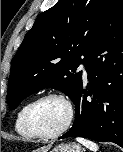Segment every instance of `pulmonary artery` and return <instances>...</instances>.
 I'll return each instance as SVG.
<instances>
[{
  "label": "pulmonary artery",
  "mask_w": 123,
  "mask_h": 152,
  "mask_svg": "<svg viewBox=\"0 0 123 152\" xmlns=\"http://www.w3.org/2000/svg\"><path fill=\"white\" fill-rule=\"evenodd\" d=\"M79 69L82 71L83 77H84V78H87L88 73H87V71H86V69H85V66H84L83 64H81V65L79 66Z\"/></svg>",
  "instance_id": "e3ab8cb5"
}]
</instances>
